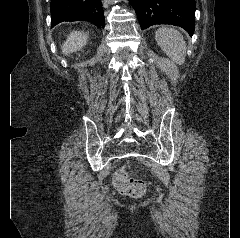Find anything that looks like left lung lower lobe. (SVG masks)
Listing matches in <instances>:
<instances>
[{"instance_id":"obj_1","label":"left lung lower lobe","mask_w":240,"mask_h":238,"mask_svg":"<svg viewBox=\"0 0 240 238\" xmlns=\"http://www.w3.org/2000/svg\"><path fill=\"white\" fill-rule=\"evenodd\" d=\"M140 26L172 24L185 29L190 36L195 29V0H129Z\"/></svg>"}]
</instances>
